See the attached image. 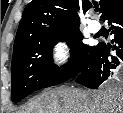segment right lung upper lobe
<instances>
[{"instance_id":"1","label":"right lung upper lobe","mask_w":123,"mask_h":113,"mask_svg":"<svg viewBox=\"0 0 123 113\" xmlns=\"http://www.w3.org/2000/svg\"><path fill=\"white\" fill-rule=\"evenodd\" d=\"M115 1H99L101 19ZM91 7L92 3L88 0H32L23 12L14 48L43 36L79 29L77 12L86 13Z\"/></svg>"}]
</instances>
